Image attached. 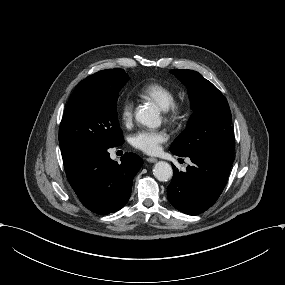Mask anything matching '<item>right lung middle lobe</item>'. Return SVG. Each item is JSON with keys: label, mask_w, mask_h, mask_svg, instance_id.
<instances>
[{"label": "right lung middle lobe", "mask_w": 285, "mask_h": 285, "mask_svg": "<svg viewBox=\"0 0 285 285\" xmlns=\"http://www.w3.org/2000/svg\"><path fill=\"white\" fill-rule=\"evenodd\" d=\"M128 79L123 69H107L76 86L60 124L62 155L124 143L116 109L119 91Z\"/></svg>", "instance_id": "dd1d6c3e"}]
</instances>
